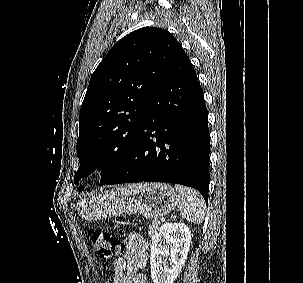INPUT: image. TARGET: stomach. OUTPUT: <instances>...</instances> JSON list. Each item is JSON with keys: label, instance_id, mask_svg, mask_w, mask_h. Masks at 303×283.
Listing matches in <instances>:
<instances>
[{"label": "stomach", "instance_id": "stomach-1", "mask_svg": "<svg viewBox=\"0 0 303 283\" xmlns=\"http://www.w3.org/2000/svg\"><path fill=\"white\" fill-rule=\"evenodd\" d=\"M176 198L175 190L168 184H135L80 199L76 209L88 221L132 214L159 218L172 210Z\"/></svg>", "mask_w": 303, "mask_h": 283}]
</instances>
